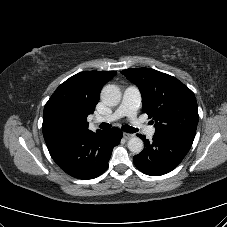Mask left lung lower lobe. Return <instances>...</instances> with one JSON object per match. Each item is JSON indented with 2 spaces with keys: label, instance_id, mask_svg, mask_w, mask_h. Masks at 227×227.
<instances>
[{
  "label": "left lung lower lobe",
  "instance_id": "obj_1",
  "mask_svg": "<svg viewBox=\"0 0 227 227\" xmlns=\"http://www.w3.org/2000/svg\"><path fill=\"white\" fill-rule=\"evenodd\" d=\"M144 141L143 151L133 157L135 166L151 176L164 175L176 168L188 153L193 140L180 135L155 132L152 141L138 134Z\"/></svg>",
  "mask_w": 227,
  "mask_h": 227
}]
</instances>
